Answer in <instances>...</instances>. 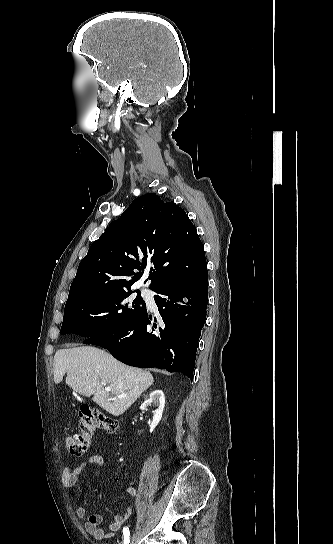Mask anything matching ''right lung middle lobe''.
Segmentation results:
<instances>
[{
    "label": "right lung middle lobe",
    "mask_w": 333,
    "mask_h": 544,
    "mask_svg": "<svg viewBox=\"0 0 333 544\" xmlns=\"http://www.w3.org/2000/svg\"><path fill=\"white\" fill-rule=\"evenodd\" d=\"M131 290H116L79 297L66 302L60 334L93 337L121 329L146 311V304L138 292L135 299Z\"/></svg>",
    "instance_id": "dd1d6c3e"
}]
</instances>
